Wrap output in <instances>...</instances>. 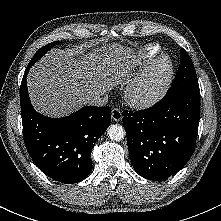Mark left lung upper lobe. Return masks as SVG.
I'll list each match as a JSON object with an SVG mask.
<instances>
[{
	"label": "left lung upper lobe",
	"instance_id": "left-lung-upper-lobe-1",
	"mask_svg": "<svg viewBox=\"0 0 221 221\" xmlns=\"http://www.w3.org/2000/svg\"><path fill=\"white\" fill-rule=\"evenodd\" d=\"M183 90H199V84L194 65L184 49L180 50V66L168 92Z\"/></svg>",
	"mask_w": 221,
	"mask_h": 221
}]
</instances>
